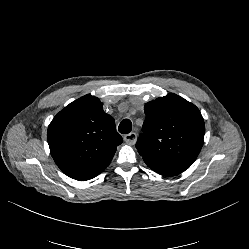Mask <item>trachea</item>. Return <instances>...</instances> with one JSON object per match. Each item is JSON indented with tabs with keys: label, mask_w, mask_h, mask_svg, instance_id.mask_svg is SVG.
Wrapping results in <instances>:
<instances>
[{
	"label": "trachea",
	"mask_w": 249,
	"mask_h": 249,
	"mask_svg": "<svg viewBox=\"0 0 249 249\" xmlns=\"http://www.w3.org/2000/svg\"><path fill=\"white\" fill-rule=\"evenodd\" d=\"M132 130V123L129 119H124L119 124V132L122 134H128Z\"/></svg>",
	"instance_id": "obj_1"
}]
</instances>
